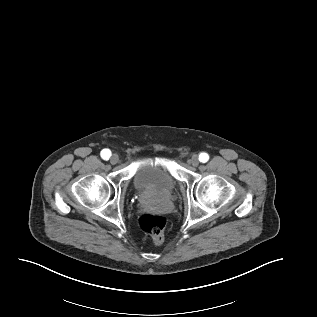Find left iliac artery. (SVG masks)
<instances>
[{
	"label": "left iliac artery",
	"instance_id": "1",
	"mask_svg": "<svg viewBox=\"0 0 317 317\" xmlns=\"http://www.w3.org/2000/svg\"><path fill=\"white\" fill-rule=\"evenodd\" d=\"M199 160L200 162L205 163L209 160V155L207 153H201L199 155Z\"/></svg>",
	"mask_w": 317,
	"mask_h": 317
}]
</instances>
